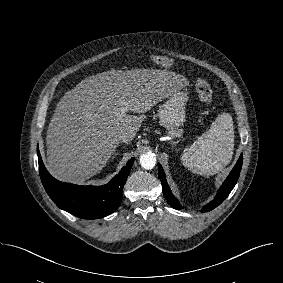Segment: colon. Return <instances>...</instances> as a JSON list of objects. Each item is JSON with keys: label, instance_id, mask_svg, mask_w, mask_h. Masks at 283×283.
<instances>
[{"label": "colon", "instance_id": "obj_1", "mask_svg": "<svg viewBox=\"0 0 283 283\" xmlns=\"http://www.w3.org/2000/svg\"><path fill=\"white\" fill-rule=\"evenodd\" d=\"M152 61L161 67L169 68L173 66V61L165 56L161 55H154L152 56ZM195 90L201 102L206 105L210 106L213 101V91L211 86L207 81L204 79H197L195 82Z\"/></svg>", "mask_w": 283, "mask_h": 283}]
</instances>
